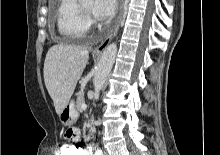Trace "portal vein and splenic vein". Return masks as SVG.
<instances>
[{"label":"portal vein and splenic vein","mask_w":220,"mask_h":155,"mask_svg":"<svg viewBox=\"0 0 220 155\" xmlns=\"http://www.w3.org/2000/svg\"><path fill=\"white\" fill-rule=\"evenodd\" d=\"M85 108H87V105H86V104H83V105L81 106V109H85Z\"/></svg>","instance_id":"18ae733b"}]
</instances>
